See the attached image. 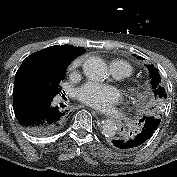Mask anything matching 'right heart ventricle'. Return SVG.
<instances>
[{
  "label": "right heart ventricle",
  "mask_w": 177,
  "mask_h": 177,
  "mask_svg": "<svg viewBox=\"0 0 177 177\" xmlns=\"http://www.w3.org/2000/svg\"><path fill=\"white\" fill-rule=\"evenodd\" d=\"M115 62H118V63L122 64V66L124 67V69H125V71L127 73V77L130 76L133 73L134 68H133V66L130 63H128L126 61H123V60H117ZM115 62H113V63H115Z\"/></svg>",
  "instance_id": "e07e8e85"
}]
</instances>
